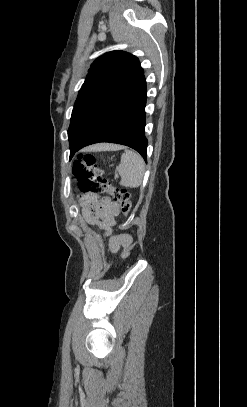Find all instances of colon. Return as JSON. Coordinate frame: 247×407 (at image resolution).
Here are the masks:
<instances>
[{
	"label": "colon",
	"instance_id": "5ec220e1",
	"mask_svg": "<svg viewBox=\"0 0 247 407\" xmlns=\"http://www.w3.org/2000/svg\"><path fill=\"white\" fill-rule=\"evenodd\" d=\"M72 173L82 193H106L118 205L121 213L126 217L129 216L131 211L129 192L113 186L105 179L103 170L97 165L94 155L80 154L74 162Z\"/></svg>",
	"mask_w": 247,
	"mask_h": 407
}]
</instances>
